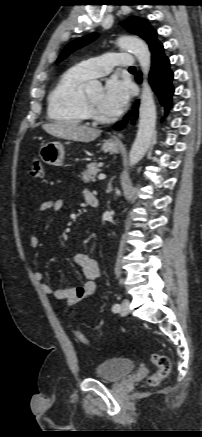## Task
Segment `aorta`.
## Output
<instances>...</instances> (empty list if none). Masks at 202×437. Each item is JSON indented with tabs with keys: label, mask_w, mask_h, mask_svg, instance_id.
Masks as SVG:
<instances>
[{
	"label": "aorta",
	"mask_w": 202,
	"mask_h": 437,
	"mask_svg": "<svg viewBox=\"0 0 202 437\" xmlns=\"http://www.w3.org/2000/svg\"><path fill=\"white\" fill-rule=\"evenodd\" d=\"M117 45L121 49L128 50L138 60L143 72L142 94L139 108V125L136 139L129 153V166L136 165L147 152L156 125V107L153 91L148 83V74L151 67V53L148 45L135 36H122L117 39ZM88 93L102 91V84L93 80L86 84Z\"/></svg>",
	"instance_id": "obj_1"
}]
</instances>
